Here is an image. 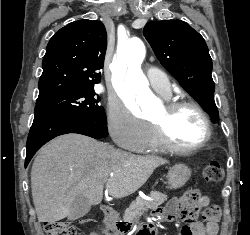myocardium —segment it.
<instances>
[{"label": "myocardium", "mask_w": 250, "mask_h": 235, "mask_svg": "<svg viewBox=\"0 0 250 235\" xmlns=\"http://www.w3.org/2000/svg\"><path fill=\"white\" fill-rule=\"evenodd\" d=\"M183 108L194 109L202 118L204 124V137L200 142L192 146H182L176 144L169 136L168 123L175 112ZM164 117L159 122H151L159 143L164 149L177 153H191L203 148L211 138V122L205 109L196 101L190 99L172 100L164 106Z\"/></svg>", "instance_id": "1"}]
</instances>
